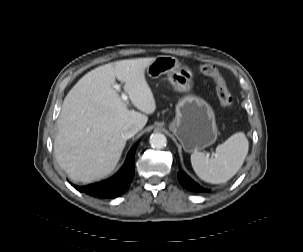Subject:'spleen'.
<instances>
[{"label": "spleen", "instance_id": "obj_1", "mask_svg": "<svg viewBox=\"0 0 303 252\" xmlns=\"http://www.w3.org/2000/svg\"><path fill=\"white\" fill-rule=\"evenodd\" d=\"M249 142L243 132L229 137L216 147L215 155L203 152L191 154V164L197 176L212 184L225 183L241 168L248 154Z\"/></svg>", "mask_w": 303, "mask_h": 252}]
</instances>
